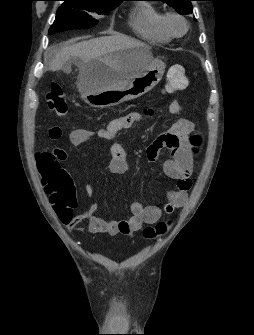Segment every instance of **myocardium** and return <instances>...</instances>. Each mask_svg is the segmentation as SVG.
Listing matches in <instances>:
<instances>
[{
    "instance_id": "myocardium-1",
    "label": "myocardium",
    "mask_w": 254,
    "mask_h": 335,
    "mask_svg": "<svg viewBox=\"0 0 254 335\" xmlns=\"http://www.w3.org/2000/svg\"><path fill=\"white\" fill-rule=\"evenodd\" d=\"M172 20H179L184 25V30L181 33H176L171 28V21ZM162 28L163 30L171 37V38H179L185 35L189 29V23L187 19L176 12H167L163 15L162 18Z\"/></svg>"
}]
</instances>
